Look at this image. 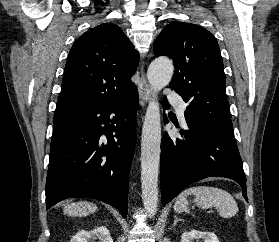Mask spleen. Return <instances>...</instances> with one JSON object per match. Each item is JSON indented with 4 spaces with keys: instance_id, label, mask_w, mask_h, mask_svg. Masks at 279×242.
I'll return each mask as SVG.
<instances>
[{
    "instance_id": "1",
    "label": "spleen",
    "mask_w": 279,
    "mask_h": 242,
    "mask_svg": "<svg viewBox=\"0 0 279 242\" xmlns=\"http://www.w3.org/2000/svg\"><path fill=\"white\" fill-rule=\"evenodd\" d=\"M194 196L193 202L202 209L215 207L222 217L229 218L238 212V205L230 193L210 186H193L184 190L176 199L174 210L178 213L188 212L187 197Z\"/></svg>"
}]
</instances>
